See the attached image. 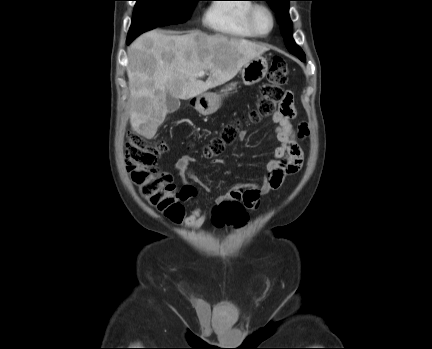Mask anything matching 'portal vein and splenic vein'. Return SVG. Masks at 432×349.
<instances>
[{
    "mask_svg": "<svg viewBox=\"0 0 432 349\" xmlns=\"http://www.w3.org/2000/svg\"><path fill=\"white\" fill-rule=\"evenodd\" d=\"M205 75V72L204 71H200L199 73H198V76L199 77H203Z\"/></svg>",
    "mask_w": 432,
    "mask_h": 349,
    "instance_id": "1",
    "label": "portal vein and splenic vein"
}]
</instances>
